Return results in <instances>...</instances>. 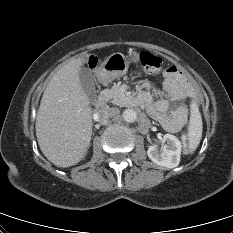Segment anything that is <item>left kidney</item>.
Segmentation results:
<instances>
[{
    "label": "left kidney",
    "mask_w": 233,
    "mask_h": 233,
    "mask_svg": "<svg viewBox=\"0 0 233 233\" xmlns=\"http://www.w3.org/2000/svg\"><path fill=\"white\" fill-rule=\"evenodd\" d=\"M163 146L160 150L155 145H149L147 155L151 161L159 166L174 168L178 166L182 144L180 140L171 134L163 136Z\"/></svg>",
    "instance_id": "5707ae66"
}]
</instances>
